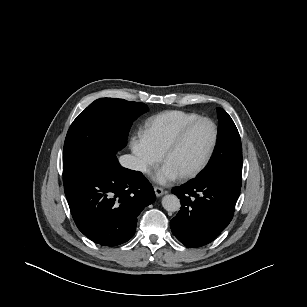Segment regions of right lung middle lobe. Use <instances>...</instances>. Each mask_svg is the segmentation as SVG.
Instances as JSON below:
<instances>
[{
    "label": "right lung middle lobe",
    "instance_id": "obj_1",
    "mask_svg": "<svg viewBox=\"0 0 307 307\" xmlns=\"http://www.w3.org/2000/svg\"><path fill=\"white\" fill-rule=\"evenodd\" d=\"M144 103L100 98L71 124L63 149L64 186L75 182L123 148L132 121L147 111Z\"/></svg>",
    "mask_w": 307,
    "mask_h": 307
}]
</instances>
